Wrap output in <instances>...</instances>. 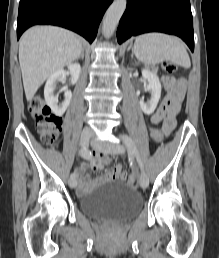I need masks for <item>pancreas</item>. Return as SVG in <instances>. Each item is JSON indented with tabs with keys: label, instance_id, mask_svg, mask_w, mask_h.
<instances>
[{
	"label": "pancreas",
	"instance_id": "1",
	"mask_svg": "<svg viewBox=\"0 0 219 258\" xmlns=\"http://www.w3.org/2000/svg\"><path fill=\"white\" fill-rule=\"evenodd\" d=\"M152 69H153L154 71H157V70H158V68H157V67H152Z\"/></svg>",
	"mask_w": 219,
	"mask_h": 258
}]
</instances>
